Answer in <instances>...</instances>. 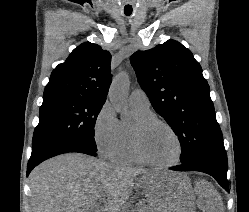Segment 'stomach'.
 Segmentation results:
<instances>
[{
	"label": "stomach",
	"instance_id": "obj_1",
	"mask_svg": "<svg viewBox=\"0 0 249 212\" xmlns=\"http://www.w3.org/2000/svg\"><path fill=\"white\" fill-rule=\"evenodd\" d=\"M141 183L145 204H155L150 212H195V194L185 170H152V175H142Z\"/></svg>",
	"mask_w": 249,
	"mask_h": 212
}]
</instances>
